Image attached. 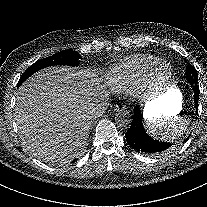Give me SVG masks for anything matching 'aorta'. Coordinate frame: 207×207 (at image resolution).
Listing matches in <instances>:
<instances>
[{
  "instance_id": "obj_1",
  "label": "aorta",
  "mask_w": 207,
  "mask_h": 207,
  "mask_svg": "<svg viewBox=\"0 0 207 207\" xmlns=\"http://www.w3.org/2000/svg\"><path fill=\"white\" fill-rule=\"evenodd\" d=\"M115 121L120 127H128L132 122V117L128 111L118 110L115 114Z\"/></svg>"
}]
</instances>
